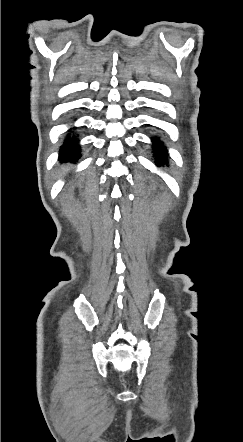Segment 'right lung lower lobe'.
I'll use <instances>...</instances> for the list:
<instances>
[{
	"label": "right lung lower lobe",
	"mask_w": 243,
	"mask_h": 442,
	"mask_svg": "<svg viewBox=\"0 0 243 442\" xmlns=\"http://www.w3.org/2000/svg\"><path fill=\"white\" fill-rule=\"evenodd\" d=\"M80 157V150L74 137H66L64 144L60 148V158L76 161Z\"/></svg>",
	"instance_id": "1"
}]
</instances>
